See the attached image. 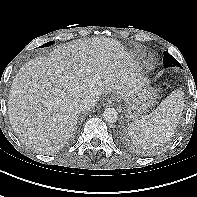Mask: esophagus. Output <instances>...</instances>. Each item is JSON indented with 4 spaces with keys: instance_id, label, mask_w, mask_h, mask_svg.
Instances as JSON below:
<instances>
[{
    "instance_id": "esophagus-1",
    "label": "esophagus",
    "mask_w": 197,
    "mask_h": 197,
    "mask_svg": "<svg viewBox=\"0 0 197 197\" xmlns=\"http://www.w3.org/2000/svg\"><path fill=\"white\" fill-rule=\"evenodd\" d=\"M106 101L109 104H114L116 102V98L112 96V97L107 98Z\"/></svg>"
}]
</instances>
